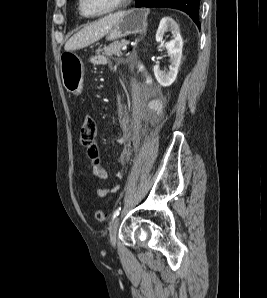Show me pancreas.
<instances>
[{
    "label": "pancreas",
    "instance_id": "pancreas-1",
    "mask_svg": "<svg viewBox=\"0 0 267 298\" xmlns=\"http://www.w3.org/2000/svg\"><path fill=\"white\" fill-rule=\"evenodd\" d=\"M126 44L125 40L116 41L111 43L109 46H105L102 49H98L97 53H102L106 56H120L121 55V48Z\"/></svg>",
    "mask_w": 267,
    "mask_h": 298
}]
</instances>
